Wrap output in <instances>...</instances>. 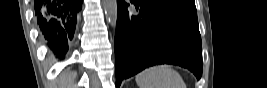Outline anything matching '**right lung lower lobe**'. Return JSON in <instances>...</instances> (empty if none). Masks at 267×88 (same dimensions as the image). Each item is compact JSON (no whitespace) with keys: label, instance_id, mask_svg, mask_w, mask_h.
<instances>
[{"label":"right lung lower lobe","instance_id":"98d812e1","mask_svg":"<svg viewBox=\"0 0 267 88\" xmlns=\"http://www.w3.org/2000/svg\"><path fill=\"white\" fill-rule=\"evenodd\" d=\"M83 0H35L34 12L41 35L57 57L68 50Z\"/></svg>","mask_w":267,"mask_h":88}]
</instances>
